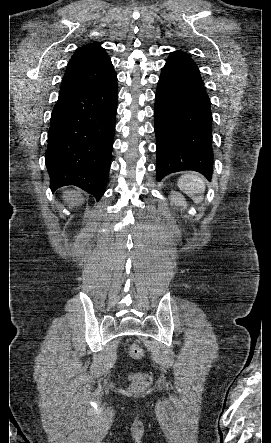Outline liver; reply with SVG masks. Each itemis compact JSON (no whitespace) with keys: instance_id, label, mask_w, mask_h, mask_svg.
<instances>
[{"instance_id":"6515ba94","label":"liver","mask_w":271,"mask_h":443,"mask_svg":"<svg viewBox=\"0 0 271 443\" xmlns=\"http://www.w3.org/2000/svg\"><path fill=\"white\" fill-rule=\"evenodd\" d=\"M65 196L64 198H66L67 202H71V204H80V202H83V198H79L78 194H76V192H69V190H67V192H64Z\"/></svg>"}]
</instances>
